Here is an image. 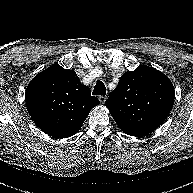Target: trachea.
I'll return each mask as SVG.
<instances>
[{
	"label": "trachea",
	"instance_id": "1",
	"mask_svg": "<svg viewBox=\"0 0 193 193\" xmlns=\"http://www.w3.org/2000/svg\"><path fill=\"white\" fill-rule=\"evenodd\" d=\"M105 94H106V87L104 83L100 80H97L93 89V95L105 96Z\"/></svg>",
	"mask_w": 193,
	"mask_h": 193
}]
</instances>
